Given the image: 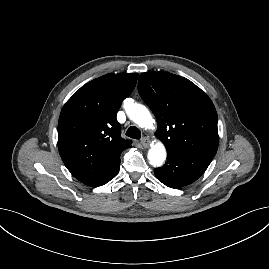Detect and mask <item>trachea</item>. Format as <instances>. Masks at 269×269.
<instances>
[{
  "label": "trachea",
  "instance_id": "trachea-1",
  "mask_svg": "<svg viewBox=\"0 0 269 269\" xmlns=\"http://www.w3.org/2000/svg\"><path fill=\"white\" fill-rule=\"evenodd\" d=\"M126 136H128L130 138H133V139H140L141 138V132L137 127L131 126L126 131Z\"/></svg>",
  "mask_w": 269,
  "mask_h": 269
}]
</instances>
